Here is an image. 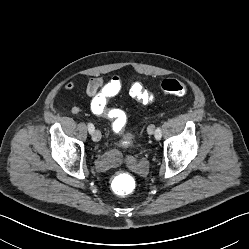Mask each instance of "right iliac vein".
I'll list each match as a JSON object with an SVG mask.
<instances>
[{
	"mask_svg": "<svg viewBox=\"0 0 249 249\" xmlns=\"http://www.w3.org/2000/svg\"><path fill=\"white\" fill-rule=\"evenodd\" d=\"M101 137H102V135H101V132H100L99 130H95V131L93 132V134H92V139H93V141H95V142L100 141V140H101Z\"/></svg>",
	"mask_w": 249,
	"mask_h": 249,
	"instance_id": "obj_1",
	"label": "right iliac vein"
}]
</instances>
